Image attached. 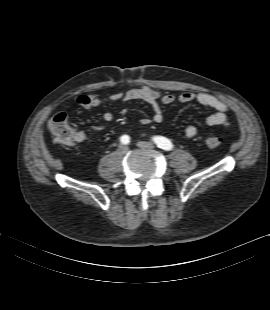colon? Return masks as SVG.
<instances>
[{"label": "colon", "mask_w": 270, "mask_h": 310, "mask_svg": "<svg viewBox=\"0 0 270 310\" xmlns=\"http://www.w3.org/2000/svg\"><path fill=\"white\" fill-rule=\"evenodd\" d=\"M48 129L54 140L64 145H75L79 139V133L69 123L68 115L64 112L57 113L48 122ZM204 144L208 148H217L221 144L220 137L209 135L204 138Z\"/></svg>", "instance_id": "colon-1"}]
</instances>
